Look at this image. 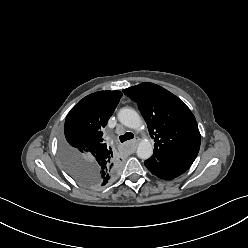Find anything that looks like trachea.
Listing matches in <instances>:
<instances>
[{
  "instance_id": "3493384b",
  "label": "trachea",
  "mask_w": 248,
  "mask_h": 248,
  "mask_svg": "<svg viewBox=\"0 0 248 248\" xmlns=\"http://www.w3.org/2000/svg\"><path fill=\"white\" fill-rule=\"evenodd\" d=\"M133 137H134L133 133H131V132H126L124 135H121V136L119 137V139H120V141L123 143V142H125V141H127V140L132 139Z\"/></svg>"
}]
</instances>
